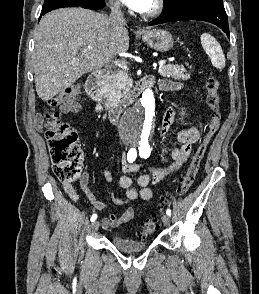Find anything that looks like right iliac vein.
I'll return each instance as SVG.
<instances>
[{"label": "right iliac vein", "instance_id": "63e3f726", "mask_svg": "<svg viewBox=\"0 0 259 294\" xmlns=\"http://www.w3.org/2000/svg\"><path fill=\"white\" fill-rule=\"evenodd\" d=\"M90 228L94 232L97 231L98 228H99V221H93L92 224H91V226H90Z\"/></svg>", "mask_w": 259, "mask_h": 294}]
</instances>
